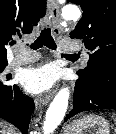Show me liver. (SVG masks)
I'll return each instance as SVG.
<instances>
[{
  "label": "liver",
  "mask_w": 116,
  "mask_h": 134,
  "mask_svg": "<svg viewBox=\"0 0 116 134\" xmlns=\"http://www.w3.org/2000/svg\"><path fill=\"white\" fill-rule=\"evenodd\" d=\"M0 134H17V132L6 122H0Z\"/></svg>",
  "instance_id": "1"
}]
</instances>
